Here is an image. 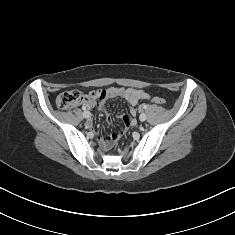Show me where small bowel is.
<instances>
[{
  "mask_svg": "<svg viewBox=\"0 0 235 235\" xmlns=\"http://www.w3.org/2000/svg\"><path fill=\"white\" fill-rule=\"evenodd\" d=\"M118 97L123 98L129 104L130 114L132 116H136L137 114V111L135 109L137 103L140 100H148L150 98L149 94L141 89L110 87L107 89L92 91L83 102V106L86 107V109H93L94 107L99 105L102 111L106 114V123L110 124L112 122V114L107 110L105 102L110 98ZM86 126L90 133L97 134L98 140L101 142L102 145H104L105 136H102L100 134V128H95L91 122H87Z\"/></svg>",
  "mask_w": 235,
  "mask_h": 235,
  "instance_id": "1",
  "label": "small bowel"
}]
</instances>
